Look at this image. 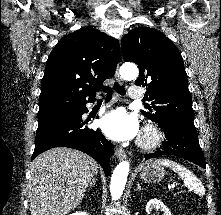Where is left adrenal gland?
<instances>
[{"label": "left adrenal gland", "instance_id": "left-adrenal-gland-1", "mask_svg": "<svg viewBox=\"0 0 221 215\" xmlns=\"http://www.w3.org/2000/svg\"><path fill=\"white\" fill-rule=\"evenodd\" d=\"M136 190H143V188H141V186H140L139 183L137 184V188H136Z\"/></svg>", "mask_w": 221, "mask_h": 215}]
</instances>
